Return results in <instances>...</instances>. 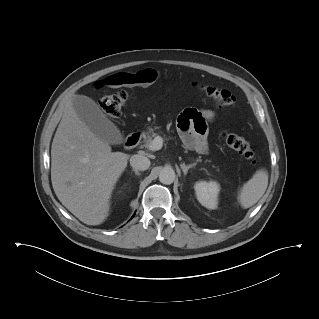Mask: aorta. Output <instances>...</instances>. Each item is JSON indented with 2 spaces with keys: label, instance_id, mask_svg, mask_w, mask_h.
Instances as JSON below:
<instances>
[{
  "label": "aorta",
  "instance_id": "obj_1",
  "mask_svg": "<svg viewBox=\"0 0 319 319\" xmlns=\"http://www.w3.org/2000/svg\"><path fill=\"white\" fill-rule=\"evenodd\" d=\"M159 180L162 184H172L175 180V171L171 167H164L159 173Z\"/></svg>",
  "mask_w": 319,
  "mask_h": 319
}]
</instances>
